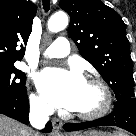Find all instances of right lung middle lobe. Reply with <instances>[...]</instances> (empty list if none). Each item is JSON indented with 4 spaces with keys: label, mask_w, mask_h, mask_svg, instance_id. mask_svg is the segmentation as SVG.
<instances>
[{
    "label": "right lung middle lobe",
    "mask_w": 136,
    "mask_h": 136,
    "mask_svg": "<svg viewBox=\"0 0 136 136\" xmlns=\"http://www.w3.org/2000/svg\"><path fill=\"white\" fill-rule=\"evenodd\" d=\"M25 84V74L14 63L0 64V99H16L26 95Z\"/></svg>",
    "instance_id": "obj_1"
}]
</instances>
